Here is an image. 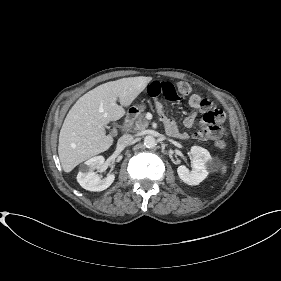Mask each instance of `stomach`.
<instances>
[{
    "mask_svg": "<svg viewBox=\"0 0 281 281\" xmlns=\"http://www.w3.org/2000/svg\"><path fill=\"white\" fill-rule=\"evenodd\" d=\"M145 105H137V106H135L134 107V111H133V113L135 114V115H138V114H140L141 112H143L144 110H145Z\"/></svg>",
    "mask_w": 281,
    "mask_h": 281,
    "instance_id": "obj_1",
    "label": "stomach"
}]
</instances>
